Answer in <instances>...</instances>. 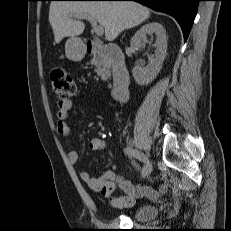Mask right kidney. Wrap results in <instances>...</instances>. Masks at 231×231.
Masks as SVG:
<instances>
[{"label":"right kidney","instance_id":"1","mask_svg":"<svg viewBox=\"0 0 231 231\" xmlns=\"http://www.w3.org/2000/svg\"><path fill=\"white\" fill-rule=\"evenodd\" d=\"M152 34L156 35V41L153 45L156 48L155 55L149 58L147 67L135 66L132 71L136 83L141 86L151 83L162 68L167 51L166 30L160 23L152 22L142 26L131 38V47L138 50L148 42L146 36Z\"/></svg>","mask_w":231,"mask_h":231}]
</instances>
